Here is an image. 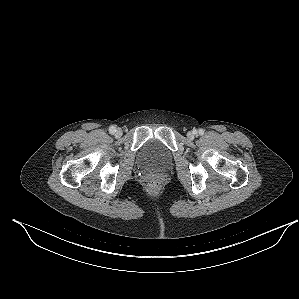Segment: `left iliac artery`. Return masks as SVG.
Returning <instances> with one entry per match:
<instances>
[{
  "mask_svg": "<svg viewBox=\"0 0 299 299\" xmlns=\"http://www.w3.org/2000/svg\"><path fill=\"white\" fill-rule=\"evenodd\" d=\"M199 134L200 135L204 134V130L203 129H199Z\"/></svg>",
  "mask_w": 299,
  "mask_h": 299,
  "instance_id": "1",
  "label": "left iliac artery"
}]
</instances>
